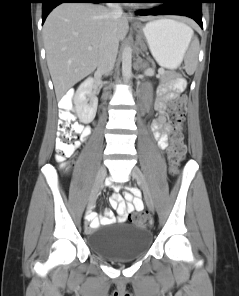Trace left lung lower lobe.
<instances>
[{"label": "left lung lower lobe", "mask_w": 239, "mask_h": 296, "mask_svg": "<svg viewBox=\"0 0 239 296\" xmlns=\"http://www.w3.org/2000/svg\"><path fill=\"white\" fill-rule=\"evenodd\" d=\"M164 7L154 8L153 10H139L137 15H181L195 20L203 29L202 23V3L203 0H167Z\"/></svg>", "instance_id": "left-lung-lower-lobe-1"}]
</instances>
